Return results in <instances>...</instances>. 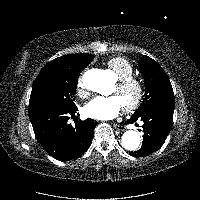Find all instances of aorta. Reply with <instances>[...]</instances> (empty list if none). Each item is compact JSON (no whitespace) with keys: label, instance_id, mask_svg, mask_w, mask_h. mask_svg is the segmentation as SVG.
<instances>
[{"label":"aorta","instance_id":"aorta-1","mask_svg":"<svg viewBox=\"0 0 200 200\" xmlns=\"http://www.w3.org/2000/svg\"><path fill=\"white\" fill-rule=\"evenodd\" d=\"M85 87L91 91L105 94L109 86L107 75L102 70H90L83 76ZM141 142L137 131L128 130L122 135V146L129 151H135Z\"/></svg>","mask_w":200,"mask_h":200}]
</instances>
